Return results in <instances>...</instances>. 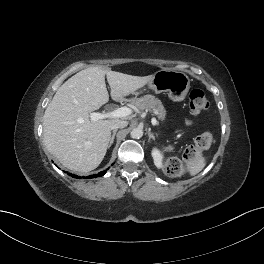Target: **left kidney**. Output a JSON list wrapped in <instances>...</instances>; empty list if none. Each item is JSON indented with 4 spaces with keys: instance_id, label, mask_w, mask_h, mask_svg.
<instances>
[{
    "instance_id": "5707ae66",
    "label": "left kidney",
    "mask_w": 264,
    "mask_h": 264,
    "mask_svg": "<svg viewBox=\"0 0 264 264\" xmlns=\"http://www.w3.org/2000/svg\"><path fill=\"white\" fill-rule=\"evenodd\" d=\"M152 157L154 159V164L158 168H163V155L157 148H153L152 150Z\"/></svg>"
}]
</instances>
